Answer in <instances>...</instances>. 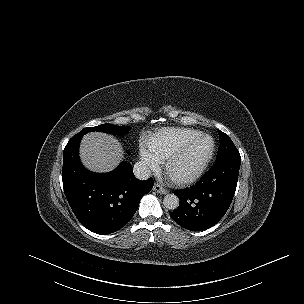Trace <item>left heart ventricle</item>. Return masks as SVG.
Listing matches in <instances>:
<instances>
[{
	"label": "left heart ventricle",
	"mask_w": 304,
	"mask_h": 304,
	"mask_svg": "<svg viewBox=\"0 0 304 304\" xmlns=\"http://www.w3.org/2000/svg\"><path fill=\"white\" fill-rule=\"evenodd\" d=\"M212 142L204 138L193 145L182 157L173 165L174 175H186L195 171L209 154Z\"/></svg>",
	"instance_id": "obj_1"
}]
</instances>
